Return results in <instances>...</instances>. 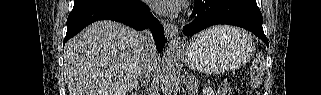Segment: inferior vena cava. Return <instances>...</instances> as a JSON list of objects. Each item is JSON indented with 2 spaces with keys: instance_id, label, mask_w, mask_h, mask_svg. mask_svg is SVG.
Returning a JSON list of instances; mask_svg holds the SVG:
<instances>
[{
  "instance_id": "obj_1",
  "label": "inferior vena cava",
  "mask_w": 321,
  "mask_h": 95,
  "mask_svg": "<svg viewBox=\"0 0 321 95\" xmlns=\"http://www.w3.org/2000/svg\"><path fill=\"white\" fill-rule=\"evenodd\" d=\"M142 36L145 40L146 45L151 49L152 55H154L155 54V46H154L153 39H152V36H151V33L149 32V30H145L144 34H142ZM152 69H153V63H152V60L149 58L147 65H146L144 72H143L142 80L149 78Z\"/></svg>"
}]
</instances>
